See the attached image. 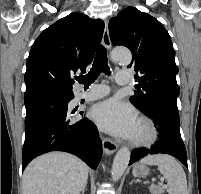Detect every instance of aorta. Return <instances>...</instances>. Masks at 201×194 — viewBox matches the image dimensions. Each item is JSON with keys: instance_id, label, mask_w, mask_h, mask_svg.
<instances>
[{"instance_id": "obj_1", "label": "aorta", "mask_w": 201, "mask_h": 194, "mask_svg": "<svg viewBox=\"0 0 201 194\" xmlns=\"http://www.w3.org/2000/svg\"><path fill=\"white\" fill-rule=\"evenodd\" d=\"M111 58L114 62L128 65L132 61V54L127 48L117 47L112 50ZM129 160H130L129 149L127 147L119 149L114 158L111 169V176L113 181H117L121 178V176L123 175L129 164Z\"/></svg>"}]
</instances>
